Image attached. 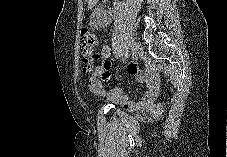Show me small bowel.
I'll list each match as a JSON object with an SVG mask.
<instances>
[{"mask_svg": "<svg viewBox=\"0 0 227 157\" xmlns=\"http://www.w3.org/2000/svg\"><path fill=\"white\" fill-rule=\"evenodd\" d=\"M110 50L108 45L103 47L102 55L104 60L101 62L100 66L96 68L89 80L88 87L90 91L96 95H106L109 100L120 104L127 111H135L153 105L159 90L157 73L155 70L145 72L141 70L135 62L129 63L127 70L129 74L135 76L140 82L145 83L148 86V90L141 100L138 102L130 100L120 87H115L108 93H105L103 83L109 79L111 64L108 58L110 56Z\"/></svg>", "mask_w": 227, "mask_h": 157, "instance_id": "c3829d8e", "label": "small bowel"}]
</instances>
